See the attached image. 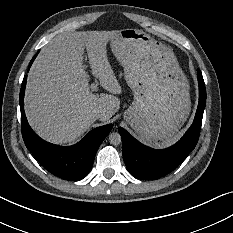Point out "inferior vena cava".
<instances>
[{
	"mask_svg": "<svg viewBox=\"0 0 233 233\" xmlns=\"http://www.w3.org/2000/svg\"><path fill=\"white\" fill-rule=\"evenodd\" d=\"M102 116V112H99V111H94L92 114H91V118L93 120H97V119H100Z\"/></svg>",
	"mask_w": 233,
	"mask_h": 233,
	"instance_id": "inferior-vena-cava-1",
	"label": "inferior vena cava"
}]
</instances>
